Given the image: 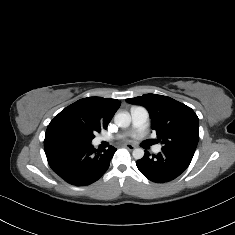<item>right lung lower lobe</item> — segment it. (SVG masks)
Listing matches in <instances>:
<instances>
[{"mask_svg":"<svg viewBox=\"0 0 235 235\" xmlns=\"http://www.w3.org/2000/svg\"><path fill=\"white\" fill-rule=\"evenodd\" d=\"M44 148L51 169L67 183L90 185L108 169L116 148L99 151L91 142L70 140L62 132L45 137Z\"/></svg>","mask_w":235,"mask_h":235,"instance_id":"1","label":"right lung lower lobe"}]
</instances>
